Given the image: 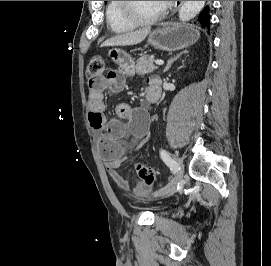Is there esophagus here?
<instances>
[{
	"label": "esophagus",
	"instance_id": "1",
	"mask_svg": "<svg viewBox=\"0 0 271 266\" xmlns=\"http://www.w3.org/2000/svg\"><path fill=\"white\" fill-rule=\"evenodd\" d=\"M184 1H175V5H174V9H173V13H175L183 4Z\"/></svg>",
	"mask_w": 271,
	"mask_h": 266
}]
</instances>
